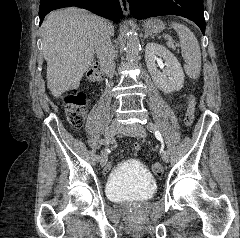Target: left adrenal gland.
<instances>
[{
	"label": "left adrenal gland",
	"instance_id": "obj_1",
	"mask_svg": "<svg viewBox=\"0 0 240 238\" xmlns=\"http://www.w3.org/2000/svg\"><path fill=\"white\" fill-rule=\"evenodd\" d=\"M149 36H151L152 38H154V36H153V35H151V34H150V33H148V32H145L144 38L146 39V38H148Z\"/></svg>",
	"mask_w": 240,
	"mask_h": 238
}]
</instances>
